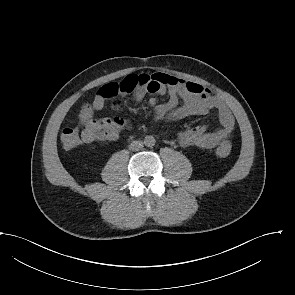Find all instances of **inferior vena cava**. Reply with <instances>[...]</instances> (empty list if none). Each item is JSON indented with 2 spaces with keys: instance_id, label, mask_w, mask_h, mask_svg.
<instances>
[{
  "instance_id": "inferior-vena-cava-1",
  "label": "inferior vena cava",
  "mask_w": 295,
  "mask_h": 295,
  "mask_svg": "<svg viewBox=\"0 0 295 295\" xmlns=\"http://www.w3.org/2000/svg\"><path fill=\"white\" fill-rule=\"evenodd\" d=\"M143 148V142L142 141H132L129 145V150L131 151H139Z\"/></svg>"
}]
</instances>
